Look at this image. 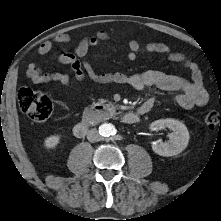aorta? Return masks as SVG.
I'll return each mask as SVG.
<instances>
[{
	"instance_id": "aorta-1",
	"label": "aorta",
	"mask_w": 221,
	"mask_h": 221,
	"mask_svg": "<svg viewBox=\"0 0 221 221\" xmlns=\"http://www.w3.org/2000/svg\"><path fill=\"white\" fill-rule=\"evenodd\" d=\"M99 131L102 136H110L114 133L115 128L112 124H103L99 127Z\"/></svg>"
}]
</instances>
